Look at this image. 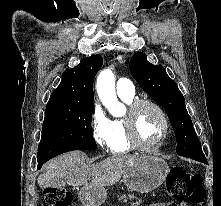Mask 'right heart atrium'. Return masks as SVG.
<instances>
[{
  "label": "right heart atrium",
  "mask_w": 221,
  "mask_h": 206,
  "mask_svg": "<svg viewBox=\"0 0 221 206\" xmlns=\"http://www.w3.org/2000/svg\"><path fill=\"white\" fill-rule=\"evenodd\" d=\"M92 135L96 143L102 148L109 147V120L99 103H95L91 117Z\"/></svg>",
  "instance_id": "obj_1"
}]
</instances>
